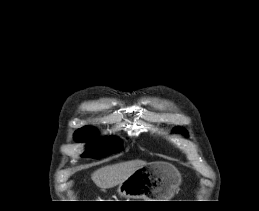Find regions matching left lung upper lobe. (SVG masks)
I'll use <instances>...</instances> for the list:
<instances>
[{"instance_id":"obj_1","label":"left lung upper lobe","mask_w":259,"mask_h":211,"mask_svg":"<svg viewBox=\"0 0 259 211\" xmlns=\"http://www.w3.org/2000/svg\"><path fill=\"white\" fill-rule=\"evenodd\" d=\"M175 131H176V132H181V133L187 135V131H186L185 129H183V128H176Z\"/></svg>"}]
</instances>
